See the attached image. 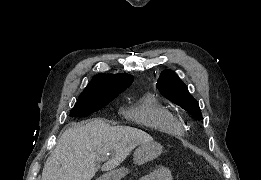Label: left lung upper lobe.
Masks as SVG:
<instances>
[{
	"instance_id": "1",
	"label": "left lung upper lobe",
	"mask_w": 261,
	"mask_h": 180,
	"mask_svg": "<svg viewBox=\"0 0 261 180\" xmlns=\"http://www.w3.org/2000/svg\"><path fill=\"white\" fill-rule=\"evenodd\" d=\"M156 87L167 99L178 104L191 115L202 118L198 102L190 95L187 86L178 78L175 72H162Z\"/></svg>"
}]
</instances>
